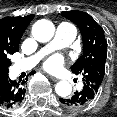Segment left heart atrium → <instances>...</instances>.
I'll return each instance as SVG.
<instances>
[{
	"label": "left heart atrium",
	"instance_id": "left-heart-atrium-1",
	"mask_svg": "<svg viewBox=\"0 0 117 117\" xmlns=\"http://www.w3.org/2000/svg\"><path fill=\"white\" fill-rule=\"evenodd\" d=\"M64 64V58L59 54H54L48 57L43 66L46 70L54 72L59 70Z\"/></svg>",
	"mask_w": 117,
	"mask_h": 117
}]
</instances>
